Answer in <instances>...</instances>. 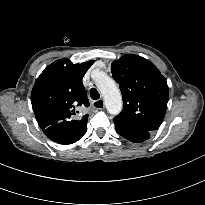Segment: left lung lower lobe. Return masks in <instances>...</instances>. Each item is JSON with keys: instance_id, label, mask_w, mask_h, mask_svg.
Instances as JSON below:
<instances>
[{"instance_id": "left-lung-lower-lobe-1", "label": "left lung lower lobe", "mask_w": 205, "mask_h": 205, "mask_svg": "<svg viewBox=\"0 0 205 205\" xmlns=\"http://www.w3.org/2000/svg\"><path fill=\"white\" fill-rule=\"evenodd\" d=\"M113 121L117 133L131 142L140 143L149 139L150 137L151 131L149 130L127 123L126 121L117 117L114 118Z\"/></svg>"}]
</instances>
